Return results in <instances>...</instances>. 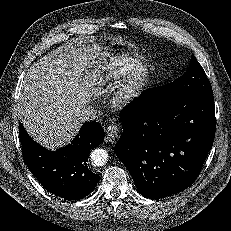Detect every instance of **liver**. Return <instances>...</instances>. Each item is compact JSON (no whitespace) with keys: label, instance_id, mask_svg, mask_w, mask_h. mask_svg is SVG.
<instances>
[{"label":"liver","instance_id":"6515ba94","mask_svg":"<svg viewBox=\"0 0 231 231\" xmlns=\"http://www.w3.org/2000/svg\"><path fill=\"white\" fill-rule=\"evenodd\" d=\"M101 51L98 44L75 41L29 68L18 99V116L36 142L55 149L79 132L82 122L77 113L98 91L93 87L95 78L82 72L94 64L101 67L99 60L105 56Z\"/></svg>","mask_w":231,"mask_h":231}]
</instances>
